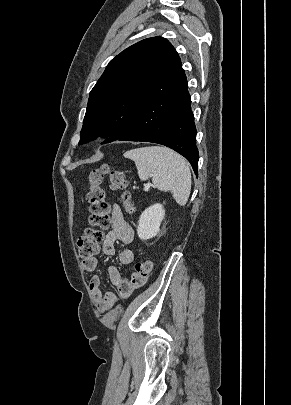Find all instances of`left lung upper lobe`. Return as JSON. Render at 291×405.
Returning <instances> with one entry per match:
<instances>
[{
    "instance_id": "5c2ea615",
    "label": "left lung upper lobe",
    "mask_w": 291,
    "mask_h": 405,
    "mask_svg": "<svg viewBox=\"0 0 291 405\" xmlns=\"http://www.w3.org/2000/svg\"><path fill=\"white\" fill-rule=\"evenodd\" d=\"M177 58L162 37L137 42L113 58L90 92L79 144L99 135L110 137L104 143L120 139L146 93Z\"/></svg>"
}]
</instances>
